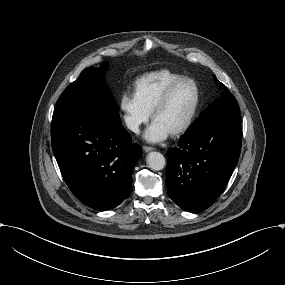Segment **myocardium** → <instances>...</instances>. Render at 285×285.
Listing matches in <instances>:
<instances>
[{
	"label": "myocardium",
	"mask_w": 285,
	"mask_h": 285,
	"mask_svg": "<svg viewBox=\"0 0 285 285\" xmlns=\"http://www.w3.org/2000/svg\"><path fill=\"white\" fill-rule=\"evenodd\" d=\"M184 82H191L194 85V87L196 89V101H195L194 107H193L190 115L184 121V123H182L180 126H178L177 128H175L174 130L171 131V133L174 135L185 132L191 126L195 117L197 116V113L200 109L201 101H202V91H201V87H200L199 83L194 78H191V77H183L180 80L172 83L164 91V93L161 95L160 99L155 104V106L153 107V110H152V117L154 118L155 114L168 103V101H169L172 93L175 91V89Z\"/></svg>",
	"instance_id": "myocardium-1"
}]
</instances>
